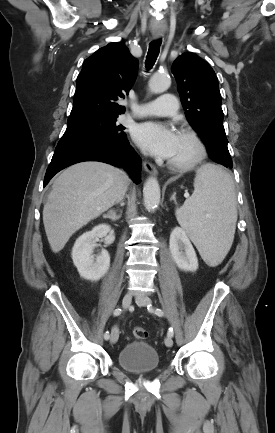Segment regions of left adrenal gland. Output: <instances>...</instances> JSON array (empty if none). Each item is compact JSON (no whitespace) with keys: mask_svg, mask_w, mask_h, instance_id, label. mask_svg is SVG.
<instances>
[{"mask_svg":"<svg viewBox=\"0 0 275 433\" xmlns=\"http://www.w3.org/2000/svg\"><path fill=\"white\" fill-rule=\"evenodd\" d=\"M176 193H174L173 195H172V197H171V199L170 200H174L175 202H176Z\"/></svg>","mask_w":275,"mask_h":433,"instance_id":"obj_1","label":"left adrenal gland"}]
</instances>
